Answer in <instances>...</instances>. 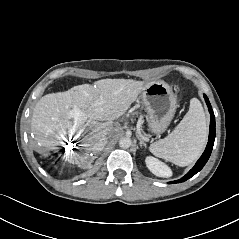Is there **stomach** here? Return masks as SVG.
<instances>
[{
  "instance_id": "stomach-1",
  "label": "stomach",
  "mask_w": 239,
  "mask_h": 239,
  "mask_svg": "<svg viewBox=\"0 0 239 239\" xmlns=\"http://www.w3.org/2000/svg\"><path fill=\"white\" fill-rule=\"evenodd\" d=\"M141 97L148 116V127L153 133H163L172 121L177 99L171 87L164 81L146 83Z\"/></svg>"
}]
</instances>
